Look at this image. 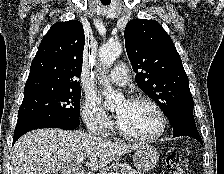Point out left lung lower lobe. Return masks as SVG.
Segmentation results:
<instances>
[{
	"mask_svg": "<svg viewBox=\"0 0 224 174\" xmlns=\"http://www.w3.org/2000/svg\"><path fill=\"white\" fill-rule=\"evenodd\" d=\"M171 126L173 127L174 137L189 136L203 145L202 139L197 131L193 113L181 114Z\"/></svg>",
	"mask_w": 224,
	"mask_h": 174,
	"instance_id": "1",
	"label": "left lung lower lobe"
}]
</instances>
